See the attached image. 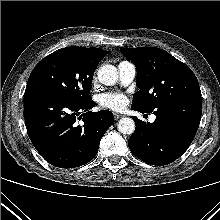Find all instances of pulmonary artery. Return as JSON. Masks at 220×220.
<instances>
[{"label":"pulmonary artery","mask_w":220,"mask_h":220,"mask_svg":"<svg viewBox=\"0 0 220 220\" xmlns=\"http://www.w3.org/2000/svg\"><path fill=\"white\" fill-rule=\"evenodd\" d=\"M120 83L124 86L129 85L135 78L136 67L129 61H122L117 66ZM156 116L151 115L150 121L153 122Z\"/></svg>","instance_id":"obj_1"}]
</instances>
